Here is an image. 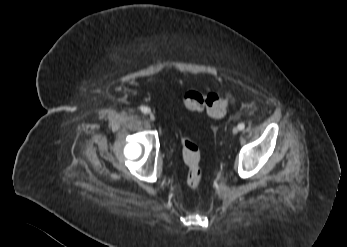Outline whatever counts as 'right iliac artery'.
Listing matches in <instances>:
<instances>
[{
    "mask_svg": "<svg viewBox=\"0 0 347 247\" xmlns=\"http://www.w3.org/2000/svg\"><path fill=\"white\" fill-rule=\"evenodd\" d=\"M141 111L146 114V113L150 112V109L148 107H146V106H142L141 107Z\"/></svg>",
    "mask_w": 347,
    "mask_h": 247,
    "instance_id": "obj_1",
    "label": "right iliac artery"
}]
</instances>
